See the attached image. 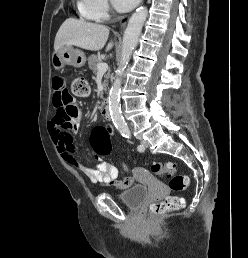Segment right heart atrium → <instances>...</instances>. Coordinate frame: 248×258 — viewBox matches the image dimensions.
<instances>
[{"label": "right heart atrium", "instance_id": "1", "mask_svg": "<svg viewBox=\"0 0 248 258\" xmlns=\"http://www.w3.org/2000/svg\"><path fill=\"white\" fill-rule=\"evenodd\" d=\"M89 11L96 19H104L108 16L110 7L107 0H86Z\"/></svg>", "mask_w": 248, "mask_h": 258}]
</instances>
